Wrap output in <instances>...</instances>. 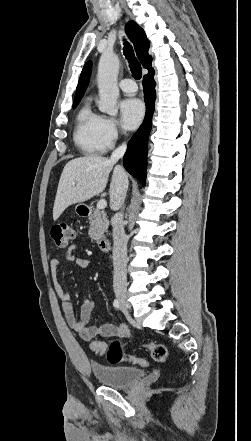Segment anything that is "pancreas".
<instances>
[{"instance_id":"obj_1","label":"pancreas","mask_w":251,"mask_h":441,"mask_svg":"<svg viewBox=\"0 0 251 441\" xmlns=\"http://www.w3.org/2000/svg\"><path fill=\"white\" fill-rule=\"evenodd\" d=\"M109 221L106 215L99 209H94L90 217L89 236L91 240H99L102 234L107 231Z\"/></svg>"}]
</instances>
